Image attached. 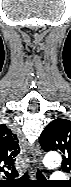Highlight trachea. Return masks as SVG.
I'll use <instances>...</instances> for the list:
<instances>
[{
    "instance_id": "1",
    "label": "trachea",
    "mask_w": 71,
    "mask_h": 187,
    "mask_svg": "<svg viewBox=\"0 0 71 187\" xmlns=\"http://www.w3.org/2000/svg\"><path fill=\"white\" fill-rule=\"evenodd\" d=\"M27 176V174H26ZM36 176H37V179L41 180V179H44V176L43 174L37 169V172H36Z\"/></svg>"
}]
</instances>
